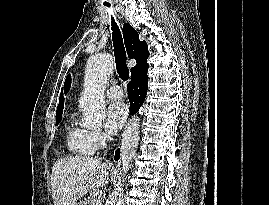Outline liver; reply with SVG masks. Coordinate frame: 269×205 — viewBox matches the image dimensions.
Returning a JSON list of instances; mask_svg holds the SVG:
<instances>
[{"mask_svg": "<svg viewBox=\"0 0 269 205\" xmlns=\"http://www.w3.org/2000/svg\"><path fill=\"white\" fill-rule=\"evenodd\" d=\"M111 167L110 163L89 156L58 159L51 173L54 205H75L88 191L105 186Z\"/></svg>", "mask_w": 269, "mask_h": 205, "instance_id": "6515ba94", "label": "liver"}]
</instances>
